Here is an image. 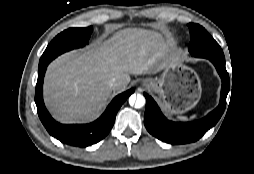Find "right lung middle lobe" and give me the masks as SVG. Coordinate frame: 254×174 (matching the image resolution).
<instances>
[{"mask_svg": "<svg viewBox=\"0 0 254 174\" xmlns=\"http://www.w3.org/2000/svg\"><path fill=\"white\" fill-rule=\"evenodd\" d=\"M93 28H70L58 34L47 46L40 58L39 68L49 64L58 55L89 43Z\"/></svg>", "mask_w": 254, "mask_h": 174, "instance_id": "dd1d6c3e", "label": "right lung middle lobe"}]
</instances>
